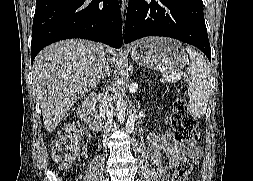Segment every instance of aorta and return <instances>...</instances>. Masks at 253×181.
Returning <instances> with one entry per match:
<instances>
[{
  "label": "aorta",
  "mask_w": 253,
  "mask_h": 181,
  "mask_svg": "<svg viewBox=\"0 0 253 181\" xmlns=\"http://www.w3.org/2000/svg\"><path fill=\"white\" fill-rule=\"evenodd\" d=\"M117 110H118V114H117V119H119L120 121V127H123L125 124V107H124V101L123 98L121 97V95H118V100H117Z\"/></svg>",
  "instance_id": "762f6f07"
}]
</instances>
